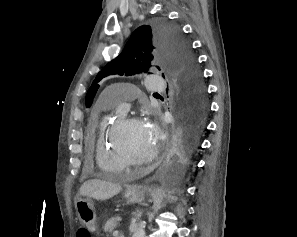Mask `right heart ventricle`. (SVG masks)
<instances>
[{
    "mask_svg": "<svg viewBox=\"0 0 297 237\" xmlns=\"http://www.w3.org/2000/svg\"><path fill=\"white\" fill-rule=\"evenodd\" d=\"M108 109L109 105L105 104L103 112H106ZM120 118L121 115H116L112 118L103 115L98 124L95 158L100 170L107 175H115L126 168L111 146L112 130Z\"/></svg>",
    "mask_w": 297,
    "mask_h": 237,
    "instance_id": "e07e8e85",
    "label": "right heart ventricle"
}]
</instances>
